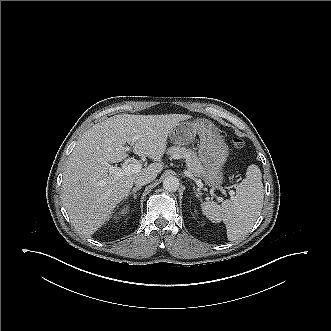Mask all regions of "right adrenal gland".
I'll list each match as a JSON object with an SVG mask.
<instances>
[{
  "mask_svg": "<svg viewBox=\"0 0 331 331\" xmlns=\"http://www.w3.org/2000/svg\"><path fill=\"white\" fill-rule=\"evenodd\" d=\"M141 187H134L132 191L129 193V196L133 195L134 199H137L136 192L139 191Z\"/></svg>",
  "mask_w": 331,
  "mask_h": 331,
  "instance_id": "1",
  "label": "right adrenal gland"
}]
</instances>
